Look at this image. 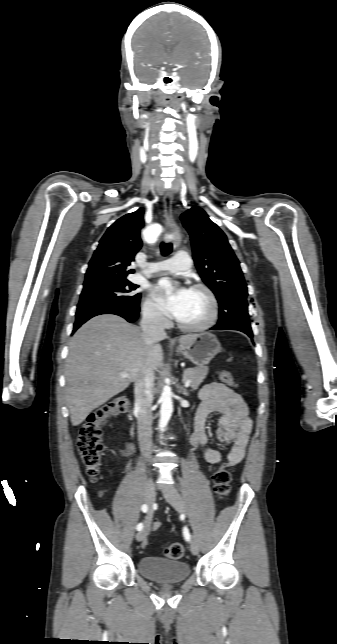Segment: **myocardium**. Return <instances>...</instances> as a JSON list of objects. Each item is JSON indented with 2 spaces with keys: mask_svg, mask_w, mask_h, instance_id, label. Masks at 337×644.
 Masks as SVG:
<instances>
[{
  "mask_svg": "<svg viewBox=\"0 0 337 644\" xmlns=\"http://www.w3.org/2000/svg\"><path fill=\"white\" fill-rule=\"evenodd\" d=\"M190 290L199 291V292H202L203 294H205V296L207 297V299L209 301V305H210L209 316L206 319V321H204L203 323H201L199 325H186V324L180 322L178 319H175V323H176V325L178 326L179 329H181L183 331H186V332H194V333L204 332V331L210 329L211 327H213L216 324L217 320H218V317H219L218 300H217L216 295L214 294V292L208 286H206L204 284H199V283L194 284V285L191 286Z\"/></svg>",
  "mask_w": 337,
  "mask_h": 644,
  "instance_id": "myocardium-1",
  "label": "myocardium"
}]
</instances>
